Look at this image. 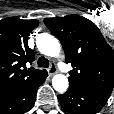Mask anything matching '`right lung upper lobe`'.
<instances>
[{"instance_id":"cb5924a9","label":"right lung upper lobe","mask_w":114,"mask_h":114,"mask_svg":"<svg viewBox=\"0 0 114 114\" xmlns=\"http://www.w3.org/2000/svg\"><path fill=\"white\" fill-rule=\"evenodd\" d=\"M37 20L9 17L0 21V96L36 80L46 70L26 68L35 59L28 47L29 34L38 26Z\"/></svg>"}]
</instances>
